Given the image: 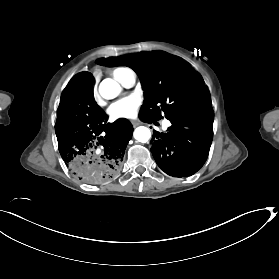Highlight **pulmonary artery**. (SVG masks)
Returning a JSON list of instances; mask_svg holds the SVG:
<instances>
[{"mask_svg": "<svg viewBox=\"0 0 279 279\" xmlns=\"http://www.w3.org/2000/svg\"><path fill=\"white\" fill-rule=\"evenodd\" d=\"M135 81H136L135 74L133 72H129L125 79L124 87L130 88V87L134 86Z\"/></svg>", "mask_w": 279, "mask_h": 279, "instance_id": "1", "label": "pulmonary artery"}]
</instances>
